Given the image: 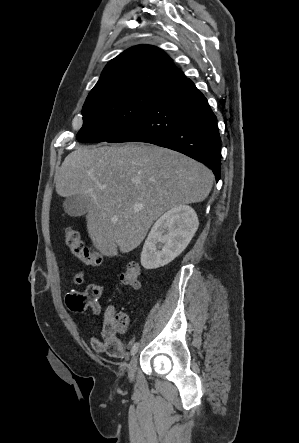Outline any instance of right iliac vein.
<instances>
[{
    "label": "right iliac vein",
    "mask_w": 299,
    "mask_h": 443,
    "mask_svg": "<svg viewBox=\"0 0 299 443\" xmlns=\"http://www.w3.org/2000/svg\"><path fill=\"white\" fill-rule=\"evenodd\" d=\"M137 369V356H133L128 366V378L132 381Z\"/></svg>",
    "instance_id": "63e3f726"
}]
</instances>
